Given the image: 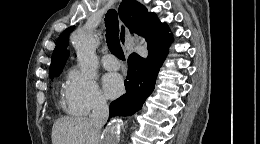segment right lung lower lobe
<instances>
[{"mask_svg": "<svg viewBox=\"0 0 260 144\" xmlns=\"http://www.w3.org/2000/svg\"><path fill=\"white\" fill-rule=\"evenodd\" d=\"M172 37L148 48L147 58L132 53L128 58V75L125 80L127 93L109 106L110 117L132 115L141 109L146 98L153 92L156 77Z\"/></svg>", "mask_w": 260, "mask_h": 144, "instance_id": "98d812e1", "label": "right lung lower lobe"}]
</instances>
